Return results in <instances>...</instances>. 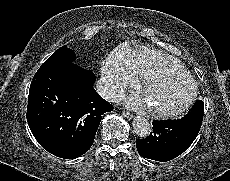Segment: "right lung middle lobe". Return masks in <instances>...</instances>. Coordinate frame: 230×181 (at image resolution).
<instances>
[{"mask_svg":"<svg viewBox=\"0 0 230 181\" xmlns=\"http://www.w3.org/2000/svg\"><path fill=\"white\" fill-rule=\"evenodd\" d=\"M75 59V53L63 46L57 49L40 67V69L55 67L64 63H71Z\"/></svg>","mask_w":230,"mask_h":181,"instance_id":"right-lung-middle-lobe-1","label":"right lung middle lobe"}]
</instances>
